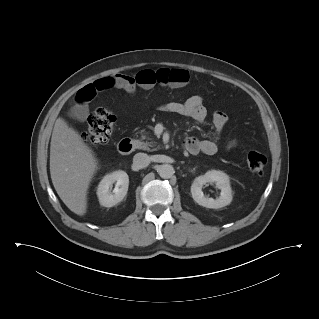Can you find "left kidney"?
<instances>
[{
	"mask_svg": "<svg viewBox=\"0 0 319 319\" xmlns=\"http://www.w3.org/2000/svg\"><path fill=\"white\" fill-rule=\"evenodd\" d=\"M206 183H215L216 187L221 190L220 196L217 199L204 196L202 187ZM191 193L194 201L206 208H222L232 201L229 177L224 172L217 170H211L204 175L196 177L191 185Z\"/></svg>",
	"mask_w": 319,
	"mask_h": 319,
	"instance_id": "1",
	"label": "left kidney"
}]
</instances>
